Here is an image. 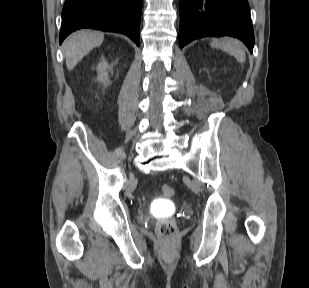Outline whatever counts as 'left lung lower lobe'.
Listing matches in <instances>:
<instances>
[{"label": "left lung lower lobe", "instance_id": "left-lung-lower-lobe-1", "mask_svg": "<svg viewBox=\"0 0 309 288\" xmlns=\"http://www.w3.org/2000/svg\"><path fill=\"white\" fill-rule=\"evenodd\" d=\"M233 36L250 52L254 32L247 0H180L179 46L205 36Z\"/></svg>", "mask_w": 309, "mask_h": 288}]
</instances>
